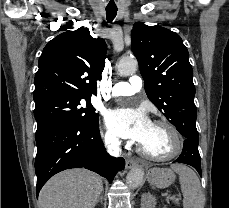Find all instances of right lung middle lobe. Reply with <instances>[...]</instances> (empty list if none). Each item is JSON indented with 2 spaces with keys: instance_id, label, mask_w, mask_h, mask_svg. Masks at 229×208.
I'll list each match as a JSON object with an SVG mask.
<instances>
[{
  "instance_id": "right-lung-middle-lobe-1",
  "label": "right lung middle lobe",
  "mask_w": 229,
  "mask_h": 208,
  "mask_svg": "<svg viewBox=\"0 0 229 208\" xmlns=\"http://www.w3.org/2000/svg\"><path fill=\"white\" fill-rule=\"evenodd\" d=\"M86 100L84 107L81 100ZM34 116L37 121L36 136L41 135L54 125L71 121L87 127L98 125V114L88 97L68 94H57L35 101Z\"/></svg>"
}]
</instances>
